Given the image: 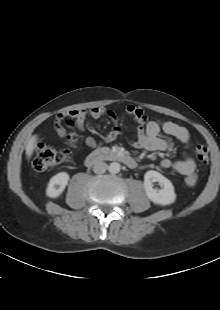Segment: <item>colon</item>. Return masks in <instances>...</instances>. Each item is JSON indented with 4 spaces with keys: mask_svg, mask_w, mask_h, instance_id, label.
Listing matches in <instances>:
<instances>
[{
    "mask_svg": "<svg viewBox=\"0 0 220 310\" xmlns=\"http://www.w3.org/2000/svg\"><path fill=\"white\" fill-rule=\"evenodd\" d=\"M75 142L74 137H70V143ZM197 160L201 165L209 163V151L204 145H197L195 149ZM68 151L54 148L43 143H38L35 147L33 167L37 171H45L63 163L68 158Z\"/></svg>",
    "mask_w": 220,
    "mask_h": 310,
    "instance_id": "5ec220e1",
    "label": "colon"
}]
</instances>
